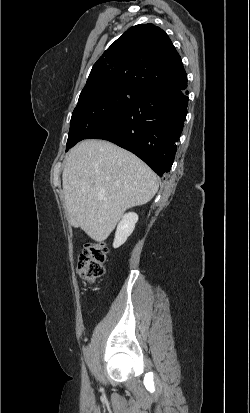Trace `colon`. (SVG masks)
Returning a JSON list of instances; mask_svg holds the SVG:
<instances>
[{"label":"colon","mask_w":250,"mask_h":413,"mask_svg":"<svg viewBox=\"0 0 250 413\" xmlns=\"http://www.w3.org/2000/svg\"><path fill=\"white\" fill-rule=\"evenodd\" d=\"M108 249L100 242H87L83 245L77 263V273L86 282H93L102 276Z\"/></svg>","instance_id":"colon-1"}]
</instances>
